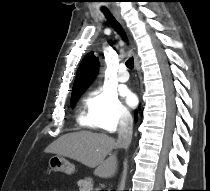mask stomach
<instances>
[{
    "label": "stomach",
    "mask_w": 210,
    "mask_h": 191,
    "mask_svg": "<svg viewBox=\"0 0 210 191\" xmlns=\"http://www.w3.org/2000/svg\"><path fill=\"white\" fill-rule=\"evenodd\" d=\"M49 167L54 172H64L69 175L75 171V166L59 155L52 156L49 159Z\"/></svg>",
    "instance_id": "1"
}]
</instances>
